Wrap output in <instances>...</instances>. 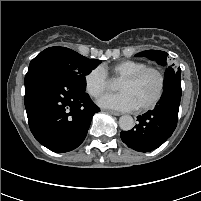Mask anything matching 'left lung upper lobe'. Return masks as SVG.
<instances>
[{
  "mask_svg": "<svg viewBox=\"0 0 201 201\" xmlns=\"http://www.w3.org/2000/svg\"><path fill=\"white\" fill-rule=\"evenodd\" d=\"M167 55L168 54L164 51L146 50V51L136 54L135 56L147 57L151 60H155L157 63L161 64L162 66H165L167 64V62H166ZM173 66H174V64L172 66H169L165 70L164 87L167 86L172 80L181 81L180 67L177 69Z\"/></svg>",
  "mask_w": 201,
  "mask_h": 201,
  "instance_id": "obj_1",
  "label": "left lung upper lobe"
}]
</instances>
